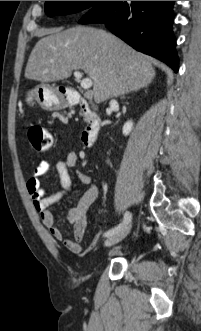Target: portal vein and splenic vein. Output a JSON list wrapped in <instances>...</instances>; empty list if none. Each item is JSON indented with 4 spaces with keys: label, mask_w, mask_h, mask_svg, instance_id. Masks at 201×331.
Instances as JSON below:
<instances>
[{
    "label": "portal vein and splenic vein",
    "mask_w": 201,
    "mask_h": 331,
    "mask_svg": "<svg viewBox=\"0 0 201 331\" xmlns=\"http://www.w3.org/2000/svg\"><path fill=\"white\" fill-rule=\"evenodd\" d=\"M74 76H75V78H77L79 80L82 79V73L79 71H75ZM92 84L93 83L90 78H83L80 82V85L84 90H89L92 87Z\"/></svg>",
    "instance_id": "portal-vein-and-splenic-vein-1"
}]
</instances>
